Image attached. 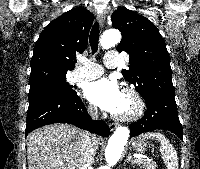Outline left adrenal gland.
Here are the masks:
<instances>
[{
  "instance_id": "left-adrenal-gland-1",
  "label": "left adrenal gland",
  "mask_w": 200,
  "mask_h": 169,
  "mask_svg": "<svg viewBox=\"0 0 200 169\" xmlns=\"http://www.w3.org/2000/svg\"><path fill=\"white\" fill-rule=\"evenodd\" d=\"M127 162H131L132 164L135 163V162L132 160L131 153L128 154L126 160L124 161V164H126Z\"/></svg>"
}]
</instances>
